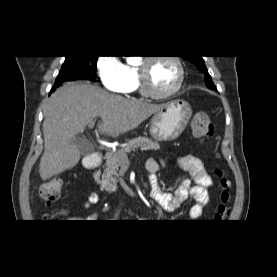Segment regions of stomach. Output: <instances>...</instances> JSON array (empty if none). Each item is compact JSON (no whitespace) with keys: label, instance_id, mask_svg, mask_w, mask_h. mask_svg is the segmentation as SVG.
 <instances>
[{"label":"stomach","instance_id":"obj_1","mask_svg":"<svg viewBox=\"0 0 277 277\" xmlns=\"http://www.w3.org/2000/svg\"><path fill=\"white\" fill-rule=\"evenodd\" d=\"M192 109L188 102L178 99L166 102L151 120L150 135L156 141H172L185 130Z\"/></svg>","mask_w":277,"mask_h":277}]
</instances>
